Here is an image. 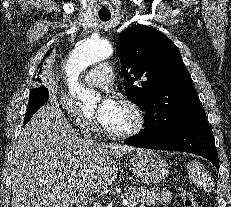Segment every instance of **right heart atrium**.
I'll use <instances>...</instances> for the list:
<instances>
[{
    "label": "right heart atrium",
    "instance_id": "right-heart-atrium-1",
    "mask_svg": "<svg viewBox=\"0 0 231 207\" xmlns=\"http://www.w3.org/2000/svg\"><path fill=\"white\" fill-rule=\"evenodd\" d=\"M59 108L73 119L75 124L85 132H92L96 129L93 118L84 114L80 107L75 104L69 97H61L58 100Z\"/></svg>",
    "mask_w": 231,
    "mask_h": 207
}]
</instances>
